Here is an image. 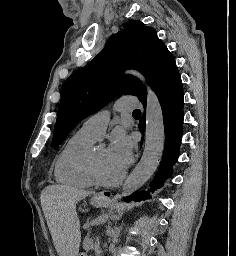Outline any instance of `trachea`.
Returning a JSON list of instances; mask_svg holds the SVG:
<instances>
[{
	"instance_id": "3493384b",
	"label": "trachea",
	"mask_w": 236,
	"mask_h": 256,
	"mask_svg": "<svg viewBox=\"0 0 236 256\" xmlns=\"http://www.w3.org/2000/svg\"><path fill=\"white\" fill-rule=\"evenodd\" d=\"M135 113H141V112H140V110H134L133 114H135Z\"/></svg>"
}]
</instances>
